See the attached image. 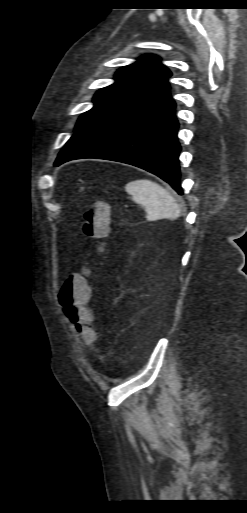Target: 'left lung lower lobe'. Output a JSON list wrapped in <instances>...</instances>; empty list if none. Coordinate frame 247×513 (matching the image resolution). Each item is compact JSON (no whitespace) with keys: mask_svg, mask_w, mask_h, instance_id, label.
<instances>
[{"mask_svg":"<svg viewBox=\"0 0 247 513\" xmlns=\"http://www.w3.org/2000/svg\"><path fill=\"white\" fill-rule=\"evenodd\" d=\"M175 106L166 82L77 130L54 165L79 158L119 161L159 176L182 195Z\"/></svg>","mask_w":247,"mask_h":513,"instance_id":"obj_1","label":"left lung lower lobe"}]
</instances>
